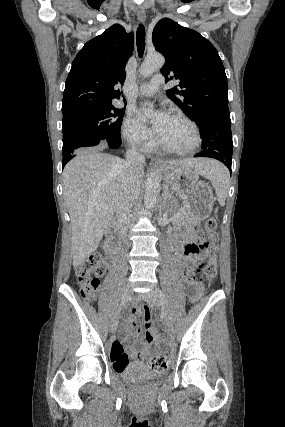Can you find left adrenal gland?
<instances>
[{
	"label": "left adrenal gland",
	"instance_id": "obj_1",
	"mask_svg": "<svg viewBox=\"0 0 285 427\" xmlns=\"http://www.w3.org/2000/svg\"><path fill=\"white\" fill-rule=\"evenodd\" d=\"M172 197L170 196V194L165 190L163 193V206H162V210L167 211V201L169 199H171Z\"/></svg>",
	"mask_w": 285,
	"mask_h": 427
}]
</instances>
